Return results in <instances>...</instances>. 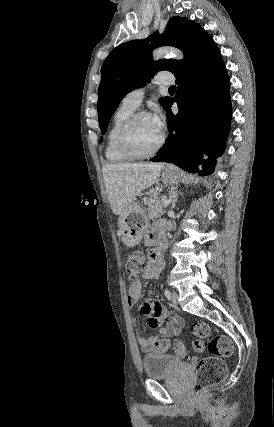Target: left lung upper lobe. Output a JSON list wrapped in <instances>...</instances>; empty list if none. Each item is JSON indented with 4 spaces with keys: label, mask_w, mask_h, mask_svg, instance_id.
Returning a JSON list of instances; mask_svg holds the SVG:
<instances>
[{
    "label": "left lung upper lobe",
    "mask_w": 274,
    "mask_h": 427,
    "mask_svg": "<svg viewBox=\"0 0 274 427\" xmlns=\"http://www.w3.org/2000/svg\"><path fill=\"white\" fill-rule=\"evenodd\" d=\"M209 38L212 37L199 24L185 17L174 16L161 35L155 32L147 39L128 41L117 46L101 68L97 111L102 134L106 132L111 115L127 93L143 86L158 71L167 70L177 74L188 63L195 49ZM166 45L181 49L185 58L181 61H153V48ZM169 98L159 100L163 107Z\"/></svg>",
    "instance_id": "obj_1"
}]
</instances>
